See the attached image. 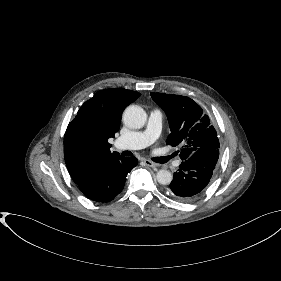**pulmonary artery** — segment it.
I'll use <instances>...</instances> for the list:
<instances>
[{
  "instance_id": "1",
  "label": "pulmonary artery",
  "mask_w": 281,
  "mask_h": 281,
  "mask_svg": "<svg viewBox=\"0 0 281 281\" xmlns=\"http://www.w3.org/2000/svg\"><path fill=\"white\" fill-rule=\"evenodd\" d=\"M162 112L158 109L151 110L146 128L142 131H133L121 135L116 140L118 148L138 150L152 144L160 135L162 129Z\"/></svg>"
}]
</instances>
